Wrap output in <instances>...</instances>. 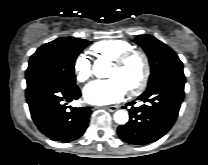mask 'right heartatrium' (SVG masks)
Masks as SVG:
<instances>
[{
    "mask_svg": "<svg viewBox=\"0 0 208 165\" xmlns=\"http://www.w3.org/2000/svg\"><path fill=\"white\" fill-rule=\"evenodd\" d=\"M74 72L79 82H85L91 77L92 64L86 55H79L75 59Z\"/></svg>",
    "mask_w": 208,
    "mask_h": 165,
    "instance_id": "obj_1",
    "label": "right heart atrium"
}]
</instances>
